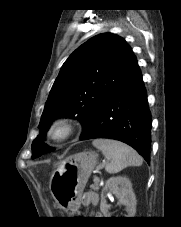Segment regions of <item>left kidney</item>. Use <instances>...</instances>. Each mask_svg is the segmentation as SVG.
Masks as SVG:
<instances>
[{
  "label": "left kidney",
  "mask_w": 181,
  "mask_h": 227,
  "mask_svg": "<svg viewBox=\"0 0 181 227\" xmlns=\"http://www.w3.org/2000/svg\"><path fill=\"white\" fill-rule=\"evenodd\" d=\"M114 194L120 205H124L128 215L125 217H134L136 213V196L132 189L130 180L125 176L111 177L106 181L105 187L101 193L100 210L104 217H111L109 213L110 205L107 204L106 196Z\"/></svg>",
  "instance_id": "left-kidney-1"
}]
</instances>
